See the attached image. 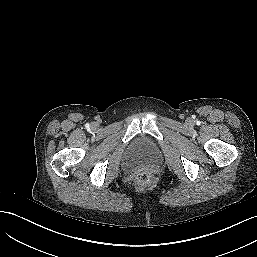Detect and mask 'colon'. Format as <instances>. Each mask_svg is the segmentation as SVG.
Wrapping results in <instances>:
<instances>
[{"label":"colon","instance_id":"colon-1","mask_svg":"<svg viewBox=\"0 0 257 257\" xmlns=\"http://www.w3.org/2000/svg\"><path fill=\"white\" fill-rule=\"evenodd\" d=\"M153 176L147 172H141L136 176V182L139 186L145 187L152 183Z\"/></svg>","mask_w":257,"mask_h":257}]
</instances>
